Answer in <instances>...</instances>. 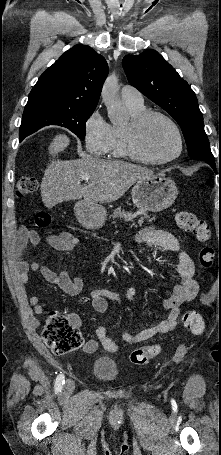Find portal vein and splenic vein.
I'll return each instance as SVG.
<instances>
[{
	"label": "portal vein and splenic vein",
	"mask_w": 221,
	"mask_h": 455,
	"mask_svg": "<svg viewBox=\"0 0 221 455\" xmlns=\"http://www.w3.org/2000/svg\"><path fill=\"white\" fill-rule=\"evenodd\" d=\"M80 177H81V179H83L85 181H88L91 178V176L89 174H84V175H81Z\"/></svg>",
	"instance_id": "obj_1"
}]
</instances>
